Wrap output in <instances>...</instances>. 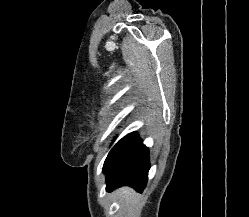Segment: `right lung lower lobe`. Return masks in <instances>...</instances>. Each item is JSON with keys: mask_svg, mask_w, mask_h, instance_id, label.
I'll return each mask as SVG.
<instances>
[{"mask_svg": "<svg viewBox=\"0 0 249 217\" xmlns=\"http://www.w3.org/2000/svg\"><path fill=\"white\" fill-rule=\"evenodd\" d=\"M149 167V151L138 134L126 135L111 149L104 163L107 190L128 185L141 192Z\"/></svg>", "mask_w": 249, "mask_h": 217, "instance_id": "1", "label": "right lung lower lobe"}]
</instances>
